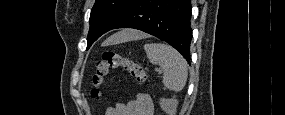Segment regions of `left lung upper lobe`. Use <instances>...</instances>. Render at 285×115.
Segmentation results:
<instances>
[{
  "instance_id": "1",
  "label": "left lung upper lobe",
  "mask_w": 285,
  "mask_h": 115,
  "mask_svg": "<svg viewBox=\"0 0 285 115\" xmlns=\"http://www.w3.org/2000/svg\"><path fill=\"white\" fill-rule=\"evenodd\" d=\"M133 0H96L90 14L87 49L104 33Z\"/></svg>"
}]
</instances>
